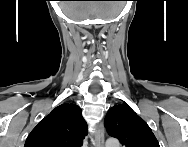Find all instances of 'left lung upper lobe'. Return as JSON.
Listing matches in <instances>:
<instances>
[{"mask_svg":"<svg viewBox=\"0 0 188 147\" xmlns=\"http://www.w3.org/2000/svg\"><path fill=\"white\" fill-rule=\"evenodd\" d=\"M105 127L124 147H160L148 124L126 104L109 109Z\"/></svg>","mask_w":188,"mask_h":147,"instance_id":"1","label":"left lung upper lobe"}]
</instances>
